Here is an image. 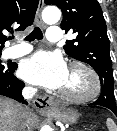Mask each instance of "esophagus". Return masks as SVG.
Returning a JSON list of instances; mask_svg holds the SVG:
<instances>
[{"instance_id": "esophagus-1", "label": "esophagus", "mask_w": 117, "mask_h": 131, "mask_svg": "<svg viewBox=\"0 0 117 131\" xmlns=\"http://www.w3.org/2000/svg\"><path fill=\"white\" fill-rule=\"evenodd\" d=\"M43 6H44V0H39V5L36 11V21L41 27L44 28L45 25L41 18V12H42ZM33 105L35 109L37 110V112H39L40 114H46L53 111L54 100L52 97H49L47 95H43V96L40 95L34 99Z\"/></svg>"}]
</instances>
